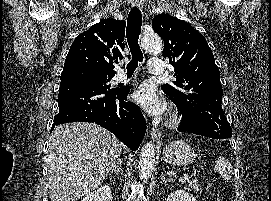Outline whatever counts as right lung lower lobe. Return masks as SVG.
Listing matches in <instances>:
<instances>
[{
  "instance_id": "98d812e1",
  "label": "right lung lower lobe",
  "mask_w": 271,
  "mask_h": 201,
  "mask_svg": "<svg viewBox=\"0 0 271 201\" xmlns=\"http://www.w3.org/2000/svg\"><path fill=\"white\" fill-rule=\"evenodd\" d=\"M81 69H64L74 74ZM129 87L104 89L87 86L76 79L61 81L58 95L59 112L54 124L93 122L116 135L132 151H136L145 135L146 122L137 105L126 101ZM54 129L52 126L51 131Z\"/></svg>"
}]
</instances>
